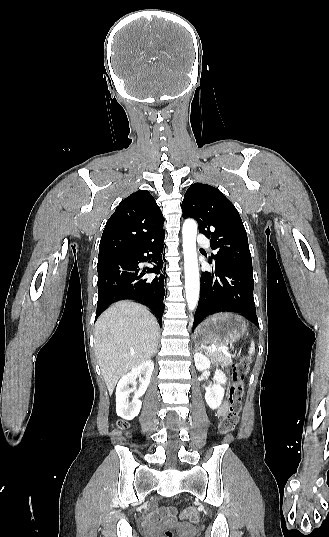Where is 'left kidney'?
Segmentation results:
<instances>
[{
    "instance_id": "1",
    "label": "left kidney",
    "mask_w": 329,
    "mask_h": 537,
    "mask_svg": "<svg viewBox=\"0 0 329 537\" xmlns=\"http://www.w3.org/2000/svg\"><path fill=\"white\" fill-rule=\"evenodd\" d=\"M194 361L196 368L199 371L208 369L211 365L209 358L204 356L202 353L196 352L194 354ZM214 380L216 383L206 391L205 400L210 408L217 409L221 405L225 393L221 384L226 383L227 380L225 374L221 370L215 371Z\"/></svg>"
}]
</instances>
